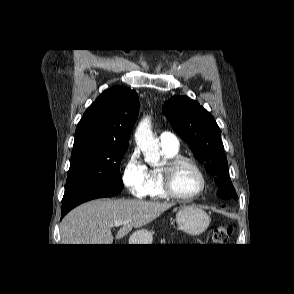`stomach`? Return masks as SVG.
I'll return each instance as SVG.
<instances>
[{
	"label": "stomach",
	"instance_id": "1",
	"mask_svg": "<svg viewBox=\"0 0 294 294\" xmlns=\"http://www.w3.org/2000/svg\"><path fill=\"white\" fill-rule=\"evenodd\" d=\"M176 222L187 234L200 235L208 228L210 219L202 209L195 206H185L177 212ZM149 236H151V232L147 230H139L135 233L138 244H142Z\"/></svg>",
	"mask_w": 294,
	"mask_h": 294
}]
</instances>
